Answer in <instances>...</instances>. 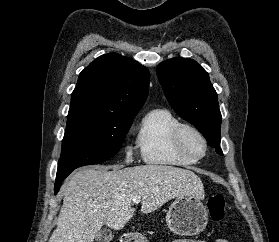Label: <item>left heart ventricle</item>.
Returning <instances> with one entry per match:
<instances>
[{
	"label": "left heart ventricle",
	"instance_id": "b2bd125f",
	"mask_svg": "<svg viewBox=\"0 0 279 242\" xmlns=\"http://www.w3.org/2000/svg\"><path fill=\"white\" fill-rule=\"evenodd\" d=\"M187 145L189 149L196 155H200L203 151V147L201 142L193 135L188 134L187 137Z\"/></svg>",
	"mask_w": 279,
	"mask_h": 242
}]
</instances>
